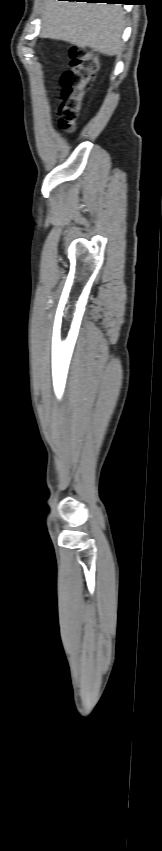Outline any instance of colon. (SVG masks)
<instances>
[{"mask_svg": "<svg viewBox=\"0 0 162 851\" xmlns=\"http://www.w3.org/2000/svg\"><path fill=\"white\" fill-rule=\"evenodd\" d=\"M69 56L70 67L65 70L61 78L63 102L58 109V114L60 127L72 131L84 92L94 78L99 62L95 51L80 47L71 48Z\"/></svg>", "mask_w": 162, "mask_h": 851, "instance_id": "obj_1", "label": "colon"}]
</instances>
